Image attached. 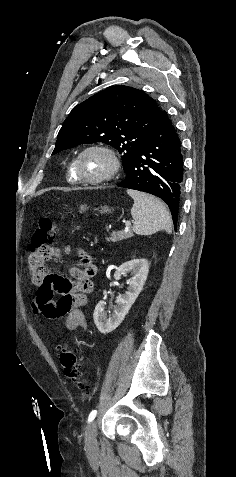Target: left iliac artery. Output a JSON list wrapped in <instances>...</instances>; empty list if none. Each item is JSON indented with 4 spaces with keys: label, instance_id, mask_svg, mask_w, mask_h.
<instances>
[{
    "label": "left iliac artery",
    "instance_id": "left-iliac-artery-1",
    "mask_svg": "<svg viewBox=\"0 0 236 477\" xmlns=\"http://www.w3.org/2000/svg\"><path fill=\"white\" fill-rule=\"evenodd\" d=\"M97 415V410H93L88 417V423L92 422Z\"/></svg>",
    "mask_w": 236,
    "mask_h": 477
}]
</instances>
